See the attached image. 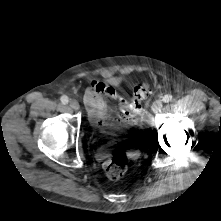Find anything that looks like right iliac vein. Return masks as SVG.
Here are the masks:
<instances>
[{"mask_svg":"<svg viewBox=\"0 0 221 221\" xmlns=\"http://www.w3.org/2000/svg\"><path fill=\"white\" fill-rule=\"evenodd\" d=\"M69 106L74 110H78L80 108V105L76 100H71L69 102Z\"/></svg>","mask_w":221,"mask_h":221,"instance_id":"1","label":"right iliac vein"}]
</instances>
